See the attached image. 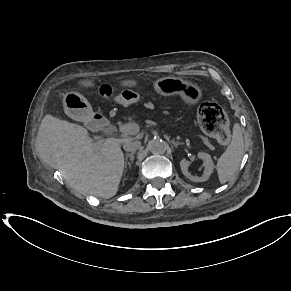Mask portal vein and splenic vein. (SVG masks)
Masks as SVG:
<instances>
[{"instance_id":"portal-vein-and-splenic-vein-1","label":"portal vein and splenic vein","mask_w":291,"mask_h":291,"mask_svg":"<svg viewBox=\"0 0 291 291\" xmlns=\"http://www.w3.org/2000/svg\"><path fill=\"white\" fill-rule=\"evenodd\" d=\"M154 124V122H150ZM139 125L137 123H127L119 127V131L124 134H136L139 132Z\"/></svg>"}]
</instances>
